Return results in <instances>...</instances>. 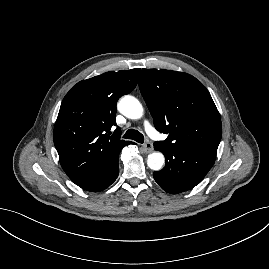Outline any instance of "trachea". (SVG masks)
<instances>
[{
    "label": "trachea",
    "mask_w": 269,
    "mask_h": 269,
    "mask_svg": "<svg viewBox=\"0 0 269 269\" xmlns=\"http://www.w3.org/2000/svg\"><path fill=\"white\" fill-rule=\"evenodd\" d=\"M123 138L132 139L138 143H144V136L139 131H137L135 129L127 130V132L124 134Z\"/></svg>",
    "instance_id": "3493384b"
}]
</instances>
